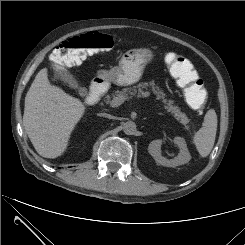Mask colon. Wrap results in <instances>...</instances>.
Segmentation results:
<instances>
[{
  "mask_svg": "<svg viewBox=\"0 0 245 245\" xmlns=\"http://www.w3.org/2000/svg\"><path fill=\"white\" fill-rule=\"evenodd\" d=\"M114 45L111 35L101 32H89L72 37L60 44L52 53L51 60L60 70L81 63L89 55L99 51L109 50ZM185 58L172 54L168 57L173 76L184 87L187 103L193 109L202 112L207 103L208 93L204 83L199 78L184 73Z\"/></svg>",
  "mask_w": 245,
  "mask_h": 245,
  "instance_id": "1",
  "label": "colon"
}]
</instances>
